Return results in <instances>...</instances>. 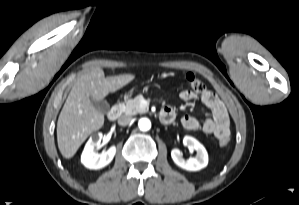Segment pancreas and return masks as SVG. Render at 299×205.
<instances>
[{"label":"pancreas","mask_w":299,"mask_h":205,"mask_svg":"<svg viewBox=\"0 0 299 205\" xmlns=\"http://www.w3.org/2000/svg\"><path fill=\"white\" fill-rule=\"evenodd\" d=\"M144 99L142 95L136 96L134 99H129L125 103L119 105L122 113L126 115H136L138 113H145L147 109L140 106L141 101Z\"/></svg>","instance_id":"1"}]
</instances>
